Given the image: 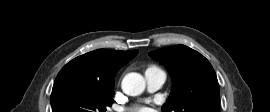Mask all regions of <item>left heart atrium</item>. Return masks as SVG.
I'll return each instance as SVG.
<instances>
[{
  "label": "left heart atrium",
  "mask_w": 270,
  "mask_h": 112,
  "mask_svg": "<svg viewBox=\"0 0 270 112\" xmlns=\"http://www.w3.org/2000/svg\"><path fill=\"white\" fill-rule=\"evenodd\" d=\"M133 112H149V110L146 107H136L133 109Z\"/></svg>",
  "instance_id": "obj_1"
}]
</instances>
